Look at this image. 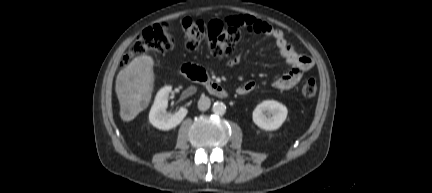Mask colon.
I'll return each mask as SVG.
<instances>
[{"label": "colon", "mask_w": 432, "mask_h": 193, "mask_svg": "<svg viewBox=\"0 0 432 193\" xmlns=\"http://www.w3.org/2000/svg\"><path fill=\"white\" fill-rule=\"evenodd\" d=\"M185 37V47L189 51L197 50L201 44H205L210 54L216 57L228 56L233 53L240 39L238 26L212 20L208 23L201 19L186 18L182 22ZM175 38L162 24L152 25L136 38L127 53L123 56L121 64L127 65L133 57L152 51L165 53L173 49ZM317 83L314 79H308L301 88L304 98H312L316 95Z\"/></svg>", "instance_id": "5ec220e1"}]
</instances>
